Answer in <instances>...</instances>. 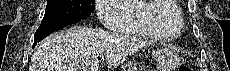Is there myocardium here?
Masks as SVG:
<instances>
[{
    "mask_svg": "<svg viewBox=\"0 0 230 71\" xmlns=\"http://www.w3.org/2000/svg\"><path fill=\"white\" fill-rule=\"evenodd\" d=\"M158 1H173V0H158Z\"/></svg>",
    "mask_w": 230,
    "mask_h": 71,
    "instance_id": "obj_1",
    "label": "myocardium"
}]
</instances>
